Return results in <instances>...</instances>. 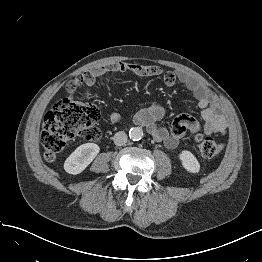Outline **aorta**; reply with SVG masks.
Instances as JSON below:
<instances>
[{"label": "aorta", "mask_w": 262, "mask_h": 262, "mask_svg": "<svg viewBox=\"0 0 262 262\" xmlns=\"http://www.w3.org/2000/svg\"><path fill=\"white\" fill-rule=\"evenodd\" d=\"M129 137L133 141H139L143 138V130L140 127H133L129 130Z\"/></svg>", "instance_id": "aorta-1"}]
</instances>
